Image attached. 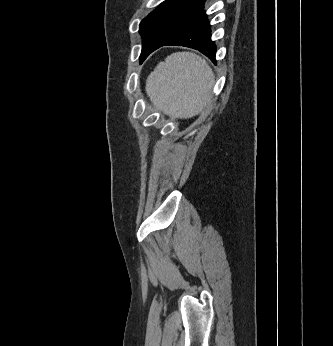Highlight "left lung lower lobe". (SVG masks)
Returning a JSON list of instances; mask_svg holds the SVG:
<instances>
[{"instance_id": "1", "label": "left lung lower lobe", "mask_w": 333, "mask_h": 346, "mask_svg": "<svg viewBox=\"0 0 333 346\" xmlns=\"http://www.w3.org/2000/svg\"><path fill=\"white\" fill-rule=\"evenodd\" d=\"M164 45H178L196 49L216 63V45L211 40V27L204 8L173 35L154 44L147 51L141 62H143L150 53Z\"/></svg>"}]
</instances>
